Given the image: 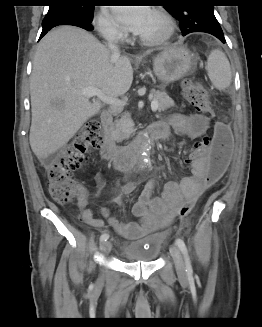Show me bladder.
<instances>
[{
    "label": "bladder",
    "instance_id": "bladder-1",
    "mask_svg": "<svg viewBox=\"0 0 262 327\" xmlns=\"http://www.w3.org/2000/svg\"><path fill=\"white\" fill-rule=\"evenodd\" d=\"M166 239V233L155 232L137 240L127 242L120 250L122 260L131 263L155 262L162 252Z\"/></svg>",
    "mask_w": 262,
    "mask_h": 327
}]
</instances>
